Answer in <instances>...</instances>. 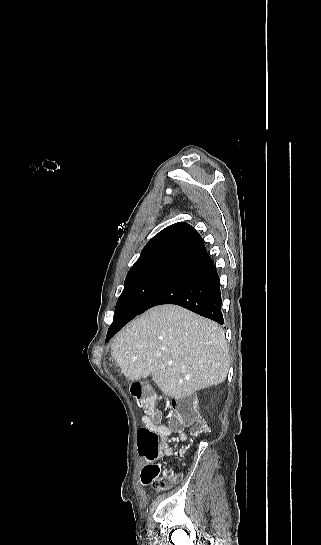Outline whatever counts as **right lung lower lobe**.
Returning a JSON list of instances; mask_svg holds the SVG:
<instances>
[{
    "label": "right lung lower lobe",
    "instance_id": "right-lung-lower-lobe-1",
    "mask_svg": "<svg viewBox=\"0 0 321 545\" xmlns=\"http://www.w3.org/2000/svg\"><path fill=\"white\" fill-rule=\"evenodd\" d=\"M221 302L219 277L214 262L204 249L176 268L136 316L156 305L176 304L224 324ZM133 318L113 322L108 329L106 341Z\"/></svg>",
    "mask_w": 321,
    "mask_h": 545
}]
</instances>
